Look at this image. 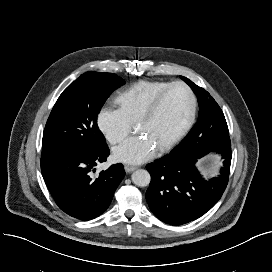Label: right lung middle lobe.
I'll return each mask as SVG.
<instances>
[{"label":"right lung middle lobe","mask_w":272,"mask_h":272,"mask_svg":"<svg viewBox=\"0 0 272 272\" xmlns=\"http://www.w3.org/2000/svg\"><path fill=\"white\" fill-rule=\"evenodd\" d=\"M123 84L113 73L82 74L55 103L43 132L42 150L91 151L106 146L97 114L111 92Z\"/></svg>","instance_id":"dd1d6c3e"}]
</instances>
